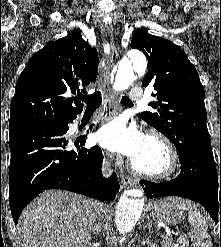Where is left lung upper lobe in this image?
Here are the masks:
<instances>
[{"mask_svg": "<svg viewBox=\"0 0 221 247\" xmlns=\"http://www.w3.org/2000/svg\"><path fill=\"white\" fill-rule=\"evenodd\" d=\"M130 47L146 55L149 67L142 86H154L158 99L149 103L154 111L138 116L169 138L179 153L209 137L204 88L185 52L171 41L143 30L134 34Z\"/></svg>", "mask_w": 221, "mask_h": 247, "instance_id": "1", "label": "left lung upper lobe"}]
</instances>
